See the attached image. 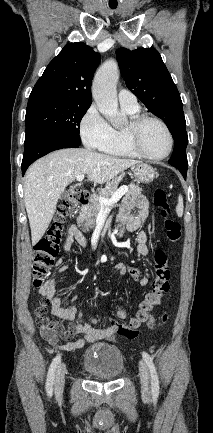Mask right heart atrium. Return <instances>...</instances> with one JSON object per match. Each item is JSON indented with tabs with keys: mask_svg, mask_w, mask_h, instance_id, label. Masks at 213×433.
<instances>
[{
	"mask_svg": "<svg viewBox=\"0 0 213 433\" xmlns=\"http://www.w3.org/2000/svg\"><path fill=\"white\" fill-rule=\"evenodd\" d=\"M111 126L96 105H91L81 118L79 132L83 143L91 149H101L110 135Z\"/></svg>",
	"mask_w": 213,
	"mask_h": 433,
	"instance_id": "obj_1",
	"label": "right heart atrium"
}]
</instances>
